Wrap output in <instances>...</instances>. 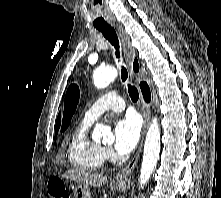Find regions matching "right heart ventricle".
<instances>
[{
    "label": "right heart ventricle",
    "mask_w": 221,
    "mask_h": 198,
    "mask_svg": "<svg viewBox=\"0 0 221 198\" xmlns=\"http://www.w3.org/2000/svg\"><path fill=\"white\" fill-rule=\"evenodd\" d=\"M91 123L82 121L73 131L68 142V159L76 168L86 171L102 167L105 156L103 148L88 136Z\"/></svg>",
    "instance_id": "right-heart-ventricle-1"
}]
</instances>
